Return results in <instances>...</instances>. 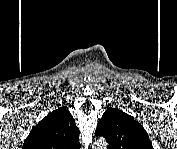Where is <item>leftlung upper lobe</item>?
Here are the masks:
<instances>
[{"label":"left lung upper lobe","instance_id":"left-lung-upper-lobe-1","mask_svg":"<svg viewBox=\"0 0 177 149\" xmlns=\"http://www.w3.org/2000/svg\"><path fill=\"white\" fill-rule=\"evenodd\" d=\"M95 135L105 137L109 149H153L143 126L127 113L115 108L105 111Z\"/></svg>","mask_w":177,"mask_h":149}]
</instances>
